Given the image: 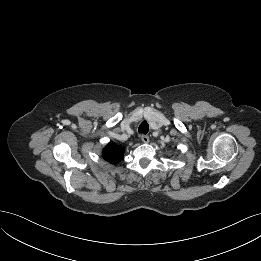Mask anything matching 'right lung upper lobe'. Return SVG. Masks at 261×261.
I'll return each mask as SVG.
<instances>
[{
  "label": "right lung upper lobe",
  "instance_id": "right-lung-upper-lobe-1",
  "mask_svg": "<svg viewBox=\"0 0 261 261\" xmlns=\"http://www.w3.org/2000/svg\"><path fill=\"white\" fill-rule=\"evenodd\" d=\"M104 159L112 164L120 162L124 157V149L111 142L102 151Z\"/></svg>",
  "mask_w": 261,
  "mask_h": 261
}]
</instances>
